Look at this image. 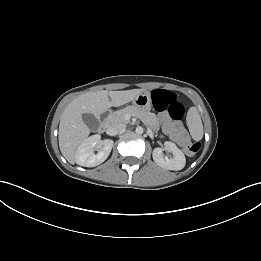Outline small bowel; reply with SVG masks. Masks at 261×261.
<instances>
[{
  "label": "small bowel",
  "mask_w": 261,
  "mask_h": 261,
  "mask_svg": "<svg viewBox=\"0 0 261 261\" xmlns=\"http://www.w3.org/2000/svg\"><path fill=\"white\" fill-rule=\"evenodd\" d=\"M163 131L173 140L174 142L184 145L188 143L189 137L180 122H175L169 118H163Z\"/></svg>",
  "instance_id": "1"
}]
</instances>
